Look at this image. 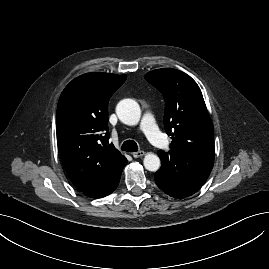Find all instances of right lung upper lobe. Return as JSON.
<instances>
[{
    "label": "right lung upper lobe",
    "mask_w": 269,
    "mask_h": 269,
    "mask_svg": "<svg viewBox=\"0 0 269 269\" xmlns=\"http://www.w3.org/2000/svg\"><path fill=\"white\" fill-rule=\"evenodd\" d=\"M126 77L83 74L72 80L59 98L57 145L64 168L80 191L104 183L127 162L113 144H107L108 101Z\"/></svg>",
    "instance_id": "obj_1"
}]
</instances>
